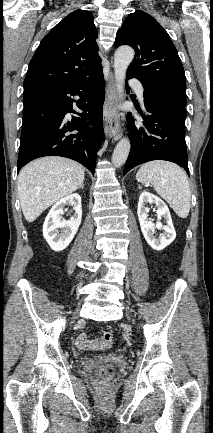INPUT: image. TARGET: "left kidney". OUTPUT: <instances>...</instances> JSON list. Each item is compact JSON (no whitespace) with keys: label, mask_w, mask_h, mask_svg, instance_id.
Wrapping results in <instances>:
<instances>
[{"label":"left kidney","mask_w":213,"mask_h":433,"mask_svg":"<svg viewBox=\"0 0 213 433\" xmlns=\"http://www.w3.org/2000/svg\"><path fill=\"white\" fill-rule=\"evenodd\" d=\"M147 203L149 204L154 203L157 206L156 224H154L151 221H148V208L146 207ZM137 214H138V219L140 222V227L143 236L146 239L147 243L154 250H158V251L163 250L165 247L171 244L173 240L176 238V232L172 223L169 208L165 204V202L159 197L146 191L142 192L139 197ZM162 217H164V219L166 220V225H163L160 222ZM156 228L159 230L161 229L164 230V233L159 238H156L154 236Z\"/></svg>","instance_id":"left-kidney-1"}]
</instances>
